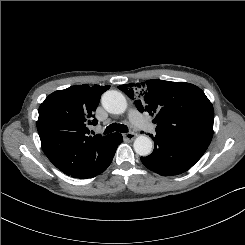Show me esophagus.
<instances>
[{
    "mask_svg": "<svg viewBox=\"0 0 245 245\" xmlns=\"http://www.w3.org/2000/svg\"><path fill=\"white\" fill-rule=\"evenodd\" d=\"M123 137L127 140H133L136 137V134L133 132H126L123 134Z\"/></svg>",
    "mask_w": 245,
    "mask_h": 245,
    "instance_id": "1",
    "label": "esophagus"
}]
</instances>
